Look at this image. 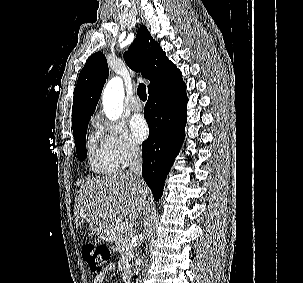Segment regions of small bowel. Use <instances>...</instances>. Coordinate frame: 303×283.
<instances>
[{
	"label": "small bowel",
	"mask_w": 303,
	"mask_h": 283,
	"mask_svg": "<svg viewBox=\"0 0 303 283\" xmlns=\"http://www.w3.org/2000/svg\"><path fill=\"white\" fill-rule=\"evenodd\" d=\"M113 269V264L106 265L102 271L95 275L93 283H102L105 276Z\"/></svg>",
	"instance_id": "small-bowel-1"
}]
</instances>
